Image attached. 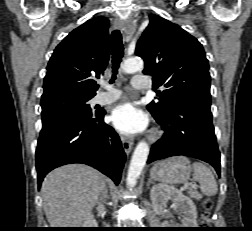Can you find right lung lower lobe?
Returning <instances> with one entry per match:
<instances>
[{
  "label": "right lung lower lobe",
  "mask_w": 252,
  "mask_h": 231,
  "mask_svg": "<svg viewBox=\"0 0 252 231\" xmlns=\"http://www.w3.org/2000/svg\"><path fill=\"white\" fill-rule=\"evenodd\" d=\"M105 111L88 116H61L43 123L36 149L38 184L52 169L71 163L92 166L117 185L125 153L115 130L104 122Z\"/></svg>",
  "instance_id": "98d812e1"
}]
</instances>
